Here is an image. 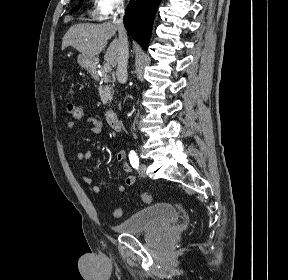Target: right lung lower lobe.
<instances>
[{
    "mask_svg": "<svg viewBox=\"0 0 288 280\" xmlns=\"http://www.w3.org/2000/svg\"><path fill=\"white\" fill-rule=\"evenodd\" d=\"M161 0H132L127 6L124 26L143 49L147 50L154 16Z\"/></svg>",
    "mask_w": 288,
    "mask_h": 280,
    "instance_id": "right-lung-lower-lobe-1",
    "label": "right lung lower lobe"
}]
</instances>
